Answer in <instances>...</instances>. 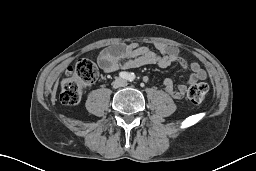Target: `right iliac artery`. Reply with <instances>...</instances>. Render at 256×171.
Here are the masks:
<instances>
[{"mask_svg": "<svg viewBox=\"0 0 256 171\" xmlns=\"http://www.w3.org/2000/svg\"><path fill=\"white\" fill-rule=\"evenodd\" d=\"M119 76L123 79H128L129 78V73L125 72V71H122V72L119 73Z\"/></svg>", "mask_w": 256, "mask_h": 171, "instance_id": "right-iliac-artery-1", "label": "right iliac artery"}]
</instances>
